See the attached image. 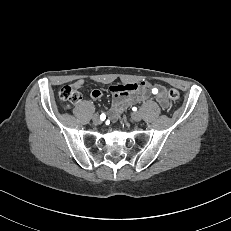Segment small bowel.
Listing matches in <instances>:
<instances>
[{
  "label": "small bowel",
  "mask_w": 231,
  "mask_h": 231,
  "mask_svg": "<svg viewBox=\"0 0 231 231\" xmlns=\"http://www.w3.org/2000/svg\"><path fill=\"white\" fill-rule=\"evenodd\" d=\"M83 85V79H78L73 83V87L76 89L82 88ZM147 87L148 84L146 82H128L122 85L112 86L111 91L113 93V101L112 106L108 112L109 118L111 120L117 119L126 105L142 99L145 96V93L143 92L140 95L138 93ZM159 90L160 93L155 95L157 102L161 105L162 108L169 109V102L166 98L165 90L161 87H159ZM90 96L94 100H99L102 97V92L98 89H94L91 91Z\"/></svg>",
  "instance_id": "c3829d8e"
}]
</instances>
